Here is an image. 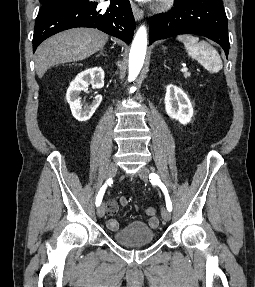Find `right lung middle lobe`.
<instances>
[{"mask_svg": "<svg viewBox=\"0 0 255 287\" xmlns=\"http://www.w3.org/2000/svg\"><path fill=\"white\" fill-rule=\"evenodd\" d=\"M42 4L41 9L47 6L55 5V4H64V3H78L90 0H39Z\"/></svg>", "mask_w": 255, "mask_h": 287, "instance_id": "dd1d6c3e", "label": "right lung middle lobe"}]
</instances>
